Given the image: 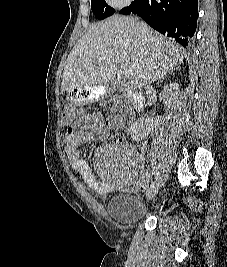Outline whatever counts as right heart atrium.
I'll use <instances>...</instances> for the list:
<instances>
[{"label": "right heart atrium", "mask_w": 227, "mask_h": 267, "mask_svg": "<svg viewBox=\"0 0 227 267\" xmlns=\"http://www.w3.org/2000/svg\"><path fill=\"white\" fill-rule=\"evenodd\" d=\"M114 7L122 8L130 5L133 0H107Z\"/></svg>", "instance_id": "right-heart-atrium-1"}]
</instances>
